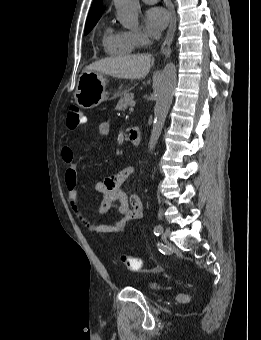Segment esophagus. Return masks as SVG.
Segmentation results:
<instances>
[{
	"label": "esophagus",
	"mask_w": 261,
	"mask_h": 340,
	"mask_svg": "<svg viewBox=\"0 0 261 340\" xmlns=\"http://www.w3.org/2000/svg\"><path fill=\"white\" fill-rule=\"evenodd\" d=\"M168 10L170 13L171 21H170V25L167 31L166 38L161 47L162 52L170 50V45L173 41L174 33L176 30V15H175V11H174L172 4L168 5Z\"/></svg>",
	"instance_id": "34e87169"
}]
</instances>
